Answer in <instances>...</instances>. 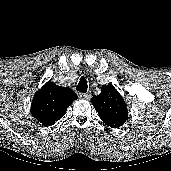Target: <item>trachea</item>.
Segmentation results:
<instances>
[{
	"label": "trachea",
	"instance_id": "1",
	"mask_svg": "<svg viewBox=\"0 0 171 171\" xmlns=\"http://www.w3.org/2000/svg\"><path fill=\"white\" fill-rule=\"evenodd\" d=\"M87 88H88V85H87L86 78L85 77H81L78 85L76 86V90L79 91V92H82V93H86L87 92Z\"/></svg>",
	"mask_w": 171,
	"mask_h": 171
}]
</instances>
